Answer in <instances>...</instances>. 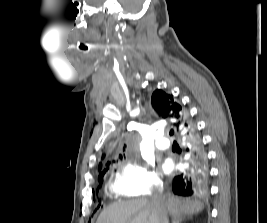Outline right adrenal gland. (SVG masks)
<instances>
[{
  "instance_id": "1",
  "label": "right adrenal gland",
  "mask_w": 267,
  "mask_h": 223,
  "mask_svg": "<svg viewBox=\"0 0 267 223\" xmlns=\"http://www.w3.org/2000/svg\"><path fill=\"white\" fill-rule=\"evenodd\" d=\"M186 218H191V216H187L185 214H180L178 216H175L172 219V223H181L182 221H184Z\"/></svg>"
}]
</instances>
